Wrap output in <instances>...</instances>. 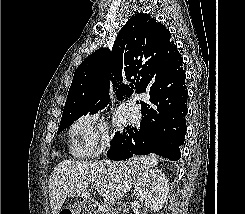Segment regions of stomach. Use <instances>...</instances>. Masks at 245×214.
<instances>
[{
    "label": "stomach",
    "instance_id": "stomach-1",
    "mask_svg": "<svg viewBox=\"0 0 245 214\" xmlns=\"http://www.w3.org/2000/svg\"><path fill=\"white\" fill-rule=\"evenodd\" d=\"M74 210H72V214H80V205L75 204L73 207Z\"/></svg>",
    "mask_w": 245,
    "mask_h": 214
}]
</instances>
